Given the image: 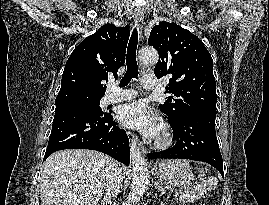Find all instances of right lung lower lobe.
I'll use <instances>...</instances> for the list:
<instances>
[{
    "instance_id": "98d812e1",
    "label": "right lung lower lobe",
    "mask_w": 269,
    "mask_h": 205,
    "mask_svg": "<svg viewBox=\"0 0 269 205\" xmlns=\"http://www.w3.org/2000/svg\"><path fill=\"white\" fill-rule=\"evenodd\" d=\"M62 149H91L129 165L130 148L126 132L115 125L110 113L74 111L55 113L44 160Z\"/></svg>"
}]
</instances>
